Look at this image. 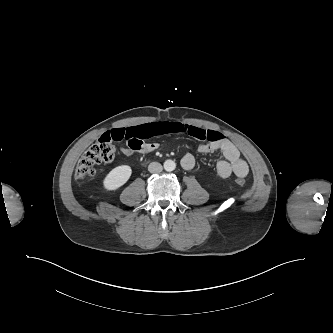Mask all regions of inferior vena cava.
Segmentation results:
<instances>
[{
    "mask_svg": "<svg viewBox=\"0 0 333 333\" xmlns=\"http://www.w3.org/2000/svg\"><path fill=\"white\" fill-rule=\"evenodd\" d=\"M162 170L163 167L159 162H152L148 166V171L151 173H160Z\"/></svg>",
    "mask_w": 333,
    "mask_h": 333,
    "instance_id": "inferior-vena-cava-1",
    "label": "inferior vena cava"
}]
</instances>
